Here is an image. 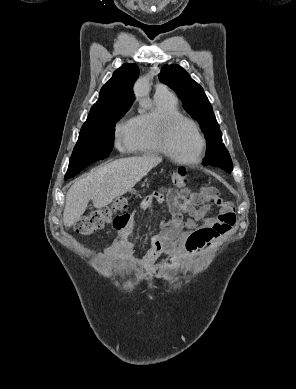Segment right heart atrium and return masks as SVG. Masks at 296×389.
<instances>
[{"mask_svg": "<svg viewBox=\"0 0 296 389\" xmlns=\"http://www.w3.org/2000/svg\"><path fill=\"white\" fill-rule=\"evenodd\" d=\"M129 121L130 120H122L115 126L114 141L119 149L127 148L129 139Z\"/></svg>", "mask_w": 296, "mask_h": 389, "instance_id": "1", "label": "right heart atrium"}]
</instances>
